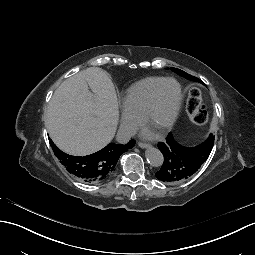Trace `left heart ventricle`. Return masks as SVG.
Listing matches in <instances>:
<instances>
[{"mask_svg":"<svg viewBox=\"0 0 255 255\" xmlns=\"http://www.w3.org/2000/svg\"><path fill=\"white\" fill-rule=\"evenodd\" d=\"M177 99V87L173 83L163 86L153 115L145 122V129L153 134H160L164 123L170 117Z\"/></svg>","mask_w":255,"mask_h":255,"instance_id":"obj_1","label":"left heart ventricle"}]
</instances>
